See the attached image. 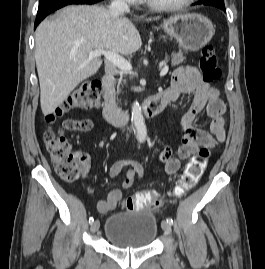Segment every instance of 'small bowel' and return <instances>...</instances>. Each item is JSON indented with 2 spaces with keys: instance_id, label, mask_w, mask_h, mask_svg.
<instances>
[{
  "instance_id": "c3829d8e",
  "label": "small bowel",
  "mask_w": 265,
  "mask_h": 269,
  "mask_svg": "<svg viewBox=\"0 0 265 269\" xmlns=\"http://www.w3.org/2000/svg\"><path fill=\"white\" fill-rule=\"evenodd\" d=\"M165 106L172 105L180 98L181 95L192 97V103L189 110L182 116L179 123L171 120V128L176 129L178 126L184 134L178 146L167 145L163 148L158 158L164 164L167 174L172 175L179 171L181 162L193 155L200 146H215L225 141V121L223 113L225 104L219 97V90L206 82L197 68L193 66H181L176 69L172 76L171 85L162 93ZM206 110L207 116L213 118L211 133L196 128L194 121L202 111ZM86 126L84 128L71 127V131H90L92 123L89 120H82ZM75 123V120H69ZM83 176L89 170L90 160L87 154L81 157ZM131 165L132 169L128 170L122 182V188L129 189L133 186L136 177H142V165L132 159L120 160L110 168V175L117 176L122 169ZM122 198V190L119 188L112 189L108 195L99 200L97 210L101 214H107L113 211Z\"/></svg>"
}]
</instances>
